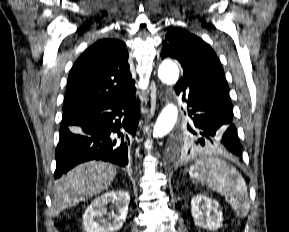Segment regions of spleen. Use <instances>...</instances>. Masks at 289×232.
Masks as SVG:
<instances>
[{
    "label": "spleen",
    "instance_id": "1",
    "mask_svg": "<svg viewBox=\"0 0 289 232\" xmlns=\"http://www.w3.org/2000/svg\"><path fill=\"white\" fill-rule=\"evenodd\" d=\"M189 173L192 178L224 196L239 217L247 216L250 208L247 185L235 167L221 159L208 157L197 161Z\"/></svg>",
    "mask_w": 289,
    "mask_h": 232
}]
</instances>
